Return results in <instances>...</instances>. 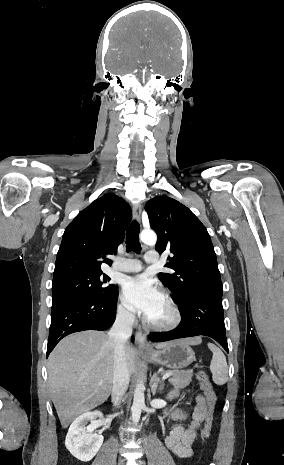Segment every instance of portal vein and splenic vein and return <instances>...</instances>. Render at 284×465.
Masks as SVG:
<instances>
[{"instance_id":"18ae733b","label":"portal vein and splenic vein","mask_w":284,"mask_h":465,"mask_svg":"<svg viewBox=\"0 0 284 465\" xmlns=\"http://www.w3.org/2000/svg\"><path fill=\"white\" fill-rule=\"evenodd\" d=\"M171 375H173V373H166V375H163V379H168Z\"/></svg>"}]
</instances>
